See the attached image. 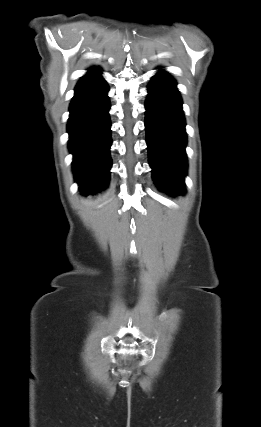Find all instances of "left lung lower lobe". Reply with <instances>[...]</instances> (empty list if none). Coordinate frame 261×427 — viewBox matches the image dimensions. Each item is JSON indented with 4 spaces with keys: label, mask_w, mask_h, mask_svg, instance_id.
Instances as JSON below:
<instances>
[{
    "label": "left lung lower lobe",
    "mask_w": 261,
    "mask_h": 427,
    "mask_svg": "<svg viewBox=\"0 0 261 427\" xmlns=\"http://www.w3.org/2000/svg\"><path fill=\"white\" fill-rule=\"evenodd\" d=\"M145 107L146 141L153 180L161 189L184 192L187 170L185 119L176 82L168 73L153 76Z\"/></svg>",
    "instance_id": "left-lung-lower-lobe-1"
}]
</instances>
